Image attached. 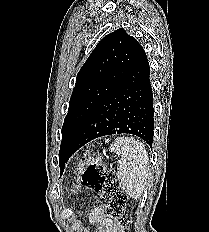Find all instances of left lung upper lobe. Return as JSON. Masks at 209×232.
Segmentation results:
<instances>
[{
	"label": "left lung upper lobe",
	"instance_id": "left-lung-upper-lobe-1",
	"mask_svg": "<svg viewBox=\"0 0 209 232\" xmlns=\"http://www.w3.org/2000/svg\"><path fill=\"white\" fill-rule=\"evenodd\" d=\"M140 44L122 28L106 35L81 67L62 127L60 168L70 158L71 140L91 111L123 80Z\"/></svg>",
	"mask_w": 209,
	"mask_h": 232
}]
</instances>
